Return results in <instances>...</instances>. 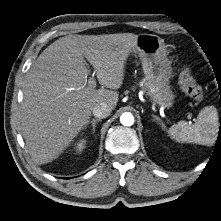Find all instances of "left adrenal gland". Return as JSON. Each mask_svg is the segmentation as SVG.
Listing matches in <instances>:
<instances>
[{
    "instance_id": "a2214340",
    "label": "left adrenal gland",
    "mask_w": 221,
    "mask_h": 221,
    "mask_svg": "<svg viewBox=\"0 0 221 221\" xmlns=\"http://www.w3.org/2000/svg\"><path fill=\"white\" fill-rule=\"evenodd\" d=\"M153 117H154L153 121H155L157 124H163L162 120L159 117L157 116H153Z\"/></svg>"
}]
</instances>
